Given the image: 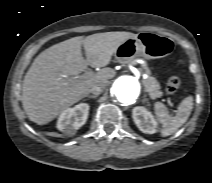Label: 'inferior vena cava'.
I'll return each instance as SVG.
<instances>
[{"label":"inferior vena cava","instance_id":"inferior-vena-cava-1","mask_svg":"<svg viewBox=\"0 0 212 183\" xmlns=\"http://www.w3.org/2000/svg\"><path fill=\"white\" fill-rule=\"evenodd\" d=\"M106 85L104 83H97L94 84L90 89L89 92L94 94V95H99L100 93L103 92L104 88Z\"/></svg>","mask_w":212,"mask_h":183}]
</instances>
